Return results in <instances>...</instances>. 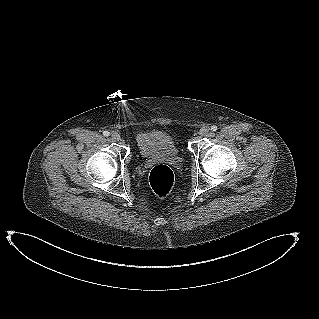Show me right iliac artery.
Wrapping results in <instances>:
<instances>
[{
	"label": "right iliac artery",
	"mask_w": 319,
	"mask_h": 319,
	"mask_svg": "<svg viewBox=\"0 0 319 319\" xmlns=\"http://www.w3.org/2000/svg\"><path fill=\"white\" fill-rule=\"evenodd\" d=\"M109 134H110V133H109L108 131H104V132H103V135L106 136V137L109 136Z\"/></svg>",
	"instance_id": "right-iliac-artery-1"
}]
</instances>
